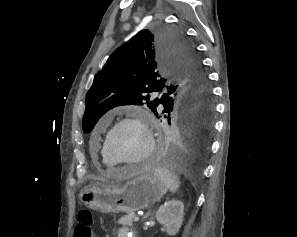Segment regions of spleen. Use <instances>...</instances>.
I'll use <instances>...</instances> for the list:
<instances>
[{"label": "spleen", "instance_id": "obj_1", "mask_svg": "<svg viewBox=\"0 0 297 237\" xmlns=\"http://www.w3.org/2000/svg\"><path fill=\"white\" fill-rule=\"evenodd\" d=\"M154 173L160 180L169 188L172 193H175L180 187L179 177L168 170L167 168H155Z\"/></svg>", "mask_w": 297, "mask_h": 237}]
</instances>
